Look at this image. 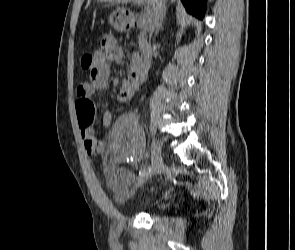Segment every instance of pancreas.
Wrapping results in <instances>:
<instances>
[{
  "label": "pancreas",
  "instance_id": "cf45deb5",
  "mask_svg": "<svg viewBox=\"0 0 295 250\" xmlns=\"http://www.w3.org/2000/svg\"><path fill=\"white\" fill-rule=\"evenodd\" d=\"M139 48H140V51H143L145 49V39H144V34L143 33H140L139 35Z\"/></svg>",
  "mask_w": 295,
  "mask_h": 250
}]
</instances>
